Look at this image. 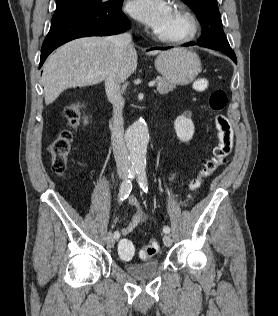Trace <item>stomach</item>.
I'll use <instances>...</instances> for the list:
<instances>
[{
  "instance_id": "1",
  "label": "stomach",
  "mask_w": 278,
  "mask_h": 316,
  "mask_svg": "<svg viewBox=\"0 0 278 316\" xmlns=\"http://www.w3.org/2000/svg\"><path fill=\"white\" fill-rule=\"evenodd\" d=\"M155 67L170 83L187 85L199 74L201 61L193 51L174 48L162 51L155 60Z\"/></svg>"
}]
</instances>
